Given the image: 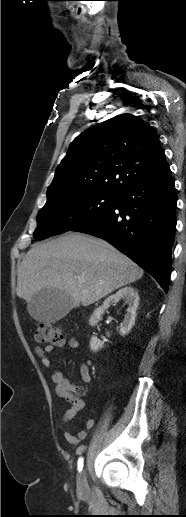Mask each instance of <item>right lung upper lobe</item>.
<instances>
[{
	"label": "right lung upper lobe",
	"instance_id": "obj_1",
	"mask_svg": "<svg viewBox=\"0 0 186 517\" xmlns=\"http://www.w3.org/2000/svg\"><path fill=\"white\" fill-rule=\"evenodd\" d=\"M168 169L151 126L122 114L81 133L57 167L47 200L83 192L120 195Z\"/></svg>",
	"mask_w": 186,
	"mask_h": 517
}]
</instances>
